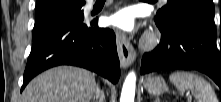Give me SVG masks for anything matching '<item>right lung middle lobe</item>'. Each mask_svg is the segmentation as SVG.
Returning a JSON list of instances; mask_svg holds the SVG:
<instances>
[{
	"label": "right lung middle lobe",
	"mask_w": 221,
	"mask_h": 102,
	"mask_svg": "<svg viewBox=\"0 0 221 102\" xmlns=\"http://www.w3.org/2000/svg\"><path fill=\"white\" fill-rule=\"evenodd\" d=\"M84 4L83 0H49L36 8L32 38L62 22L84 17L82 10Z\"/></svg>",
	"instance_id": "dd1d6c3e"
}]
</instances>
